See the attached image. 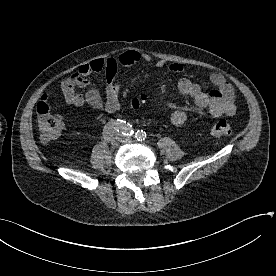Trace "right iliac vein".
I'll list each match as a JSON object with an SVG mask.
<instances>
[{"label": "right iliac vein", "instance_id": "right-iliac-vein-1", "mask_svg": "<svg viewBox=\"0 0 276 276\" xmlns=\"http://www.w3.org/2000/svg\"><path fill=\"white\" fill-rule=\"evenodd\" d=\"M119 141H120V140H119V137L116 136V137L110 139V144H111L112 147H117Z\"/></svg>", "mask_w": 276, "mask_h": 276}]
</instances>
